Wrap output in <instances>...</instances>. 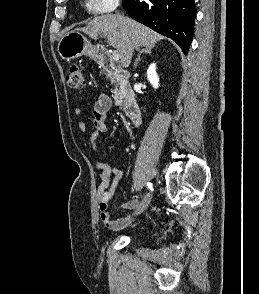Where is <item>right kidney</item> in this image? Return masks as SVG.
I'll list each match as a JSON object with an SVG mask.
<instances>
[{"label": "right kidney", "instance_id": "ca27d5eb", "mask_svg": "<svg viewBox=\"0 0 259 294\" xmlns=\"http://www.w3.org/2000/svg\"><path fill=\"white\" fill-rule=\"evenodd\" d=\"M147 79L150 82V84L153 86L154 89H157L159 86V77L156 73V65L155 63H152L148 70H147Z\"/></svg>", "mask_w": 259, "mask_h": 294}]
</instances>
